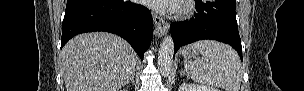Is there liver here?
<instances>
[{
	"label": "liver",
	"mask_w": 304,
	"mask_h": 91,
	"mask_svg": "<svg viewBox=\"0 0 304 91\" xmlns=\"http://www.w3.org/2000/svg\"><path fill=\"white\" fill-rule=\"evenodd\" d=\"M136 62L131 46L107 32L77 35L61 52L67 91H119L135 74Z\"/></svg>",
	"instance_id": "obj_1"
}]
</instances>
